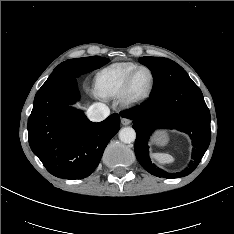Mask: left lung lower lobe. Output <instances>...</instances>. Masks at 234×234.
Returning <instances> with one entry per match:
<instances>
[{"label":"left lung lower lobe","instance_id":"left-lung-lower-lobe-1","mask_svg":"<svg viewBox=\"0 0 234 234\" xmlns=\"http://www.w3.org/2000/svg\"><path fill=\"white\" fill-rule=\"evenodd\" d=\"M121 116L133 121L136 130L135 155L141 166L152 175L164 178L187 176L200 163L211 139L210 112L199 87L189 78L152 93L139 106L122 111ZM177 129L193 140L192 160L177 173H167L149 158L147 143L156 129Z\"/></svg>","mask_w":234,"mask_h":234}]
</instances>
